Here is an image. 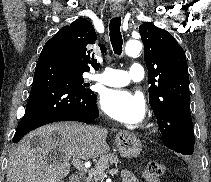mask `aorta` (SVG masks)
Instances as JSON below:
<instances>
[{"label":"aorta","instance_id":"1","mask_svg":"<svg viewBox=\"0 0 211 182\" xmlns=\"http://www.w3.org/2000/svg\"><path fill=\"white\" fill-rule=\"evenodd\" d=\"M142 50V43L138 40H129L125 45V53L130 57L137 56Z\"/></svg>","mask_w":211,"mask_h":182}]
</instances>
